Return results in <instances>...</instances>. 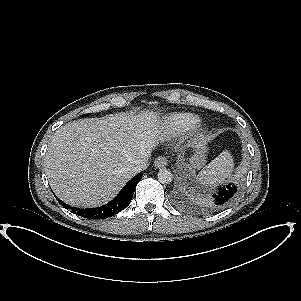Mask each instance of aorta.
Listing matches in <instances>:
<instances>
[{"label": "aorta", "mask_w": 301, "mask_h": 301, "mask_svg": "<svg viewBox=\"0 0 301 301\" xmlns=\"http://www.w3.org/2000/svg\"><path fill=\"white\" fill-rule=\"evenodd\" d=\"M157 178L161 184H169L172 182L173 175L170 170L161 169L157 174Z\"/></svg>", "instance_id": "obj_1"}]
</instances>
